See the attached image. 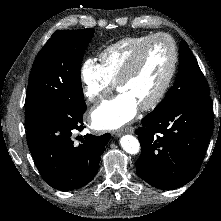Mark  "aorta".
Returning a JSON list of instances; mask_svg holds the SVG:
<instances>
[{
    "label": "aorta",
    "instance_id": "762f6f07",
    "mask_svg": "<svg viewBox=\"0 0 221 221\" xmlns=\"http://www.w3.org/2000/svg\"><path fill=\"white\" fill-rule=\"evenodd\" d=\"M123 150L129 154H137L140 150V144L136 137L132 135H124L120 139Z\"/></svg>",
    "mask_w": 221,
    "mask_h": 221
}]
</instances>
